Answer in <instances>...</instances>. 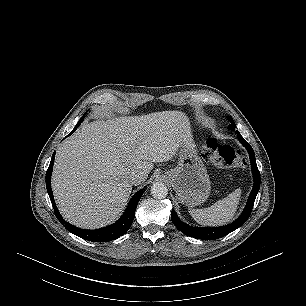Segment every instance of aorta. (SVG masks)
<instances>
[{
	"mask_svg": "<svg viewBox=\"0 0 306 306\" xmlns=\"http://www.w3.org/2000/svg\"><path fill=\"white\" fill-rule=\"evenodd\" d=\"M167 186L162 182H155L151 186V195L156 199H163L167 196Z\"/></svg>",
	"mask_w": 306,
	"mask_h": 306,
	"instance_id": "762f6f07",
	"label": "aorta"
}]
</instances>
